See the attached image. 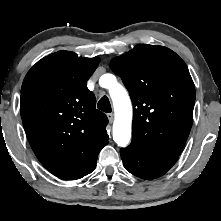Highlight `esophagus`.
<instances>
[{"mask_svg":"<svg viewBox=\"0 0 221 221\" xmlns=\"http://www.w3.org/2000/svg\"><path fill=\"white\" fill-rule=\"evenodd\" d=\"M107 118H108V120H109V122H113V120H114V115H113V113H108L107 114Z\"/></svg>","mask_w":221,"mask_h":221,"instance_id":"1","label":"esophagus"}]
</instances>
